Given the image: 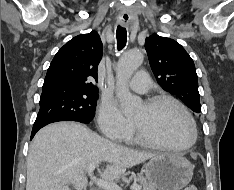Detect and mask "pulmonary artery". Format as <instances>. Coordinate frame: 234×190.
<instances>
[{"label": "pulmonary artery", "mask_w": 234, "mask_h": 190, "mask_svg": "<svg viewBox=\"0 0 234 190\" xmlns=\"http://www.w3.org/2000/svg\"><path fill=\"white\" fill-rule=\"evenodd\" d=\"M128 85L136 92L146 93L151 87V80L145 71L140 70L135 77L128 82Z\"/></svg>", "instance_id": "1"}]
</instances>
